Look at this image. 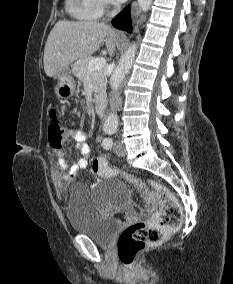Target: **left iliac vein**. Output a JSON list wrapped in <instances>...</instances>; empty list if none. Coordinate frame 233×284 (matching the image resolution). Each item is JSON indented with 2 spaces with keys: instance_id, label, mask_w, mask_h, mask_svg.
Instances as JSON below:
<instances>
[{
  "instance_id": "4c4485c4",
  "label": "left iliac vein",
  "mask_w": 233,
  "mask_h": 284,
  "mask_svg": "<svg viewBox=\"0 0 233 284\" xmlns=\"http://www.w3.org/2000/svg\"><path fill=\"white\" fill-rule=\"evenodd\" d=\"M113 149H114L115 153L119 156H125L126 155L125 145L119 140L114 143Z\"/></svg>"
}]
</instances>
